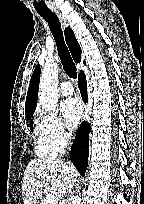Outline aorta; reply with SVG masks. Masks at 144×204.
<instances>
[{
  "mask_svg": "<svg viewBox=\"0 0 144 204\" xmlns=\"http://www.w3.org/2000/svg\"><path fill=\"white\" fill-rule=\"evenodd\" d=\"M58 72L56 63L47 62L41 72L39 82V102L46 110L53 112L58 101ZM70 204H81L80 194Z\"/></svg>",
  "mask_w": 144,
  "mask_h": 204,
  "instance_id": "aorta-1",
  "label": "aorta"
}]
</instances>
